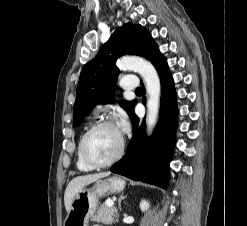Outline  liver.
Here are the masks:
<instances>
[{
	"label": "liver",
	"mask_w": 247,
	"mask_h": 226,
	"mask_svg": "<svg viewBox=\"0 0 247 226\" xmlns=\"http://www.w3.org/2000/svg\"><path fill=\"white\" fill-rule=\"evenodd\" d=\"M110 173L108 172H104V173H96V174H90V175H83V176H78L73 178L66 190H65V194H64V204H65V208L66 211L69 212L70 208H71V203L74 199V197L76 196V194L82 189L84 188L86 185L100 179V178H104L106 176H108Z\"/></svg>",
	"instance_id": "obj_1"
}]
</instances>
